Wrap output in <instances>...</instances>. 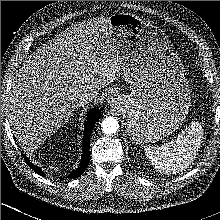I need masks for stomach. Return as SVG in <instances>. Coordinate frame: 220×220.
Segmentation results:
<instances>
[{"label": "stomach", "mask_w": 220, "mask_h": 220, "mask_svg": "<svg viewBox=\"0 0 220 220\" xmlns=\"http://www.w3.org/2000/svg\"><path fill=\"white\" fill-rule=\"evenodd\" d=\"M109 25L131 89L119 105L126 131L136 144L156 142L177 130L188 114L191 91L184 67L158 27L129 13L112 15Z\"/></svg>", "instance_id": "0dacf381"}]
</instances>
